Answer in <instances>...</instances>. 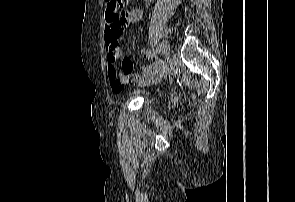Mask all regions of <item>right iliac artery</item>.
Segmentation results:
<instances>
[{"mask_svg":"<svg viewBox=\"0 0 295 202\" xmlns=\"http://www.w3.org/2000/svg\"><path fill=\"white\" fill-rule=\"evenodd\" d=\"M160 52H161V47H157L156 48V53L160 54Z\"/></svg>","mask_w":295,"mask_h":202,"instance_id":"obj_1","label":"right iliac artery"}]
</instances>
